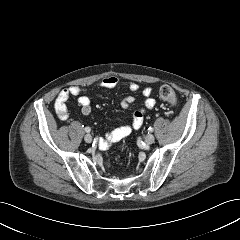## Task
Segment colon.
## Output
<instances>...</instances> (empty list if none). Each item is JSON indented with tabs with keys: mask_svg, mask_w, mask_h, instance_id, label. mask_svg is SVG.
<instances>
[{
	"mask_svg": "<svg viewBox=\"0 0 240 240\" xmlns=\"http://www.w3.org/2000/svg\"><path fill=\"white\" fill-rule=\"evenodd\" d=\"M160 97L168 104L174 106L177 103L176 93L169 85H164L160 88Z\"/></svg>",
	"mask_w": 240,
	"mask_h": 240,
	"instance_id": "1",
	"label": "colon"
}]
</instances>
